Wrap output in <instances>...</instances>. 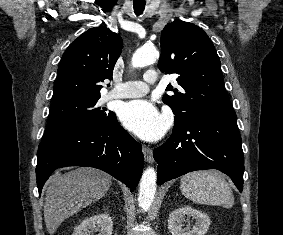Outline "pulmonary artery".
I'll list each match as a JSON object with an SVG mask.
<instances>
[{"mask_svg":"<svg viewBox=\"0 0 283 235\" xmlns=\"http://www.w3.org/2000/svg\"><path fill=\"white\" fill-rule=\"evenodd\" d=\"M158 81L157 72L148 70L144 74V81H127L115 84L107 94V99H125L141 97L148 93L149 86Z\"/></svg>","mask_w":283,"mask_h":235,"instance_id":"e3ab8cb5","label":"pulmonary artery"}]
</instances>
